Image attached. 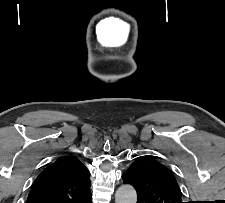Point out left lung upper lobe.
<instances>
[{"label": "left lung upper lobe", "mask_w": 225, "mask_h": 203, "mask_svg": "<svg viewBox=\"0 0 225 203\" xmlns=\"http://www.w3.org/2000/svg\"><path fill=\"white\" fill-rule=\"evenodd\" d=\"M137 191V203H183L170 169L149 156H139L122 175Z\"/></svg>", "instance_id": "left-lung-upper-lobe-1"}]
</instances>
